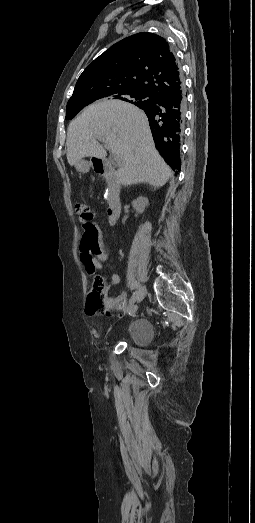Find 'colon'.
<instances>
[{
    "label": "colon",
    "mask_w": 255,
    "mask_h": 523,
    "mask_svg": "<svg viewBox=\"0 0 255 523\" xmlns=\"http://www.w3.org/2000/svg\"><path fill=\"white\" fill-rule=\"evenodd\" d=\"M75 211L82 223L92 220V212L89 206L85 203H78L75 205ZM107 286L104 279L97 276L94 282L93 291L90 295L88 310L90 313H108L119 307V302L107 297Z\"/></svg>",
    "instance_id": "1"
}]
</instances>
